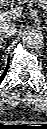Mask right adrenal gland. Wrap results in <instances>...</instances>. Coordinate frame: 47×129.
<instances>
[{
    "label": "right adrenal gland",
    "instance_id": "right-adrenal-gland-1",
    "mask_svg": "<svg viewBox=\"0 0 47 129\" xmlns=\"http://www.w3.org/2000/svg\"><path fill=\"white\" fill-rule=\"evenodd\" d=\"M5 38L4 36L0 37V47H2V44L5 42Z\"/></svg>",
    "mask_w": 47,
    "mask_h": 129
}]
</instances>
